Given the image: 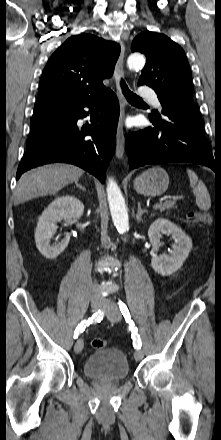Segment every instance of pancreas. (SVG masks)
I'll use <instances>...</instances> for the list:
<instances>
[{"mask_svg": "<svg viewBox=\"0 0 221 440\" xmlns=\"http://www.w3.org/2000/svg\"><path fill=\"white\" fill-rule=\"evenodd\" d=\"M175 207L174 201H166L164 203L159 204L158 208L160 211L169 210L171 208Z\"/></svg>", "mask_w": 221, "mask_h": 440, "instance_id": "cf45deb5", "label": "pancreas"}]
</instances>
